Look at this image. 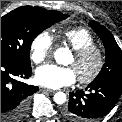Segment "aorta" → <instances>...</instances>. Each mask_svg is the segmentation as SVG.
Wrapping results in <instances>:
<instances>
[{
    "instance_id": "obj_1",
    "label": "aorta",
    "mask_w": 122,
    "mask_h": 122,
    "mask_svg": "<svg viewBox=\"0 0 122 122\" xmlns=\"http://www.w3.org/2000/svg\"><path fill=\"white\" fill-rule=\"evenodd\" d=\"M69 53L67 48H58L55 53L54 57L57 63H63L64 56ZM54 102L56 104H64L66 102V94L63 92H57L54 94Z\"/></svg>"
}]
</instances>
